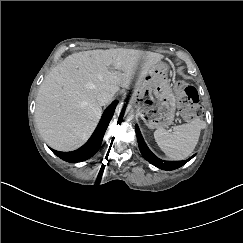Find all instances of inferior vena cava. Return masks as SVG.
Instances as JSON below:
<instances>
[{"instance_id": "1", "label": "inferior vena cava", "mask_w": 243, "mask_h": 243, "mask_svg": "<svg viewBox=\"0 0 243 243\" xmlns=\"http://www.w3.org/2000/svg\"><path fill=\"white\" fill-rule=\"evenodd\" d=\"M112 98H113V93H110L108 91H101L97 95V100L100 105L107 104L109 101L112 100Z\"/></svg>"}]
</instances>
